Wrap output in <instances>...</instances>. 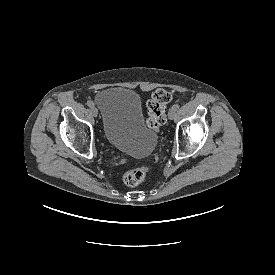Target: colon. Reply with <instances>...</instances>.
Segmentation results:
<instances>
[{
    "instance_id": "1",
    "label": "colon",
    "mask_w": 275,
    "mask_h": 275,
    "mask_svg": "<svg viewBox=\"0 0 275 275\" xmlns=\"http://www.w3.org/2000/svg\"><path fill=\"white\" fill-rule=\"evenodd\" d=\"M171 101V95L168 91L158 89L153 92L150 100L147 102V125L153 130L158 131L166 122V109ZM148 173L146 166L133 167L124 170L122 174L123 182L127 186H138L143 182Z\"/></svg>"
}]
</instances>
